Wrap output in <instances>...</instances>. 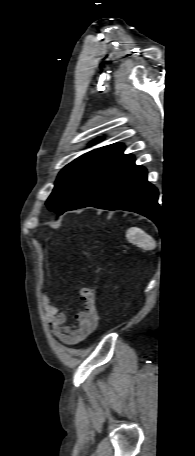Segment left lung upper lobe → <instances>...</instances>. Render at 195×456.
Wrapping results in <instances>:
<instances>
[{
  "label": "left lung upper lobe",
  "instance_id": "left-lung-upper-lobe-1",
  "mask_svg": "<svg viewBox=\"0 0 195 456\" xmlns=\"http://www.w3.org/2000/svg\"><path fill=\"white\" fill-rule=\"evenodd\" d=\"M123 151V144H111L85 153L65 166L46 201L48 208L57 214L79 208L113 173L125 156Z\"/></svg>",
  "mask_w": 195,
  "mask_h": 456
}]
</instances>
